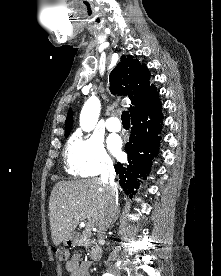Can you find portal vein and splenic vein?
<instances>
[{
  "label": "portal vein and splenic vein",
  "mask_w": 221,
  "mask_h": 276,
  "mask_svg": "<svg viewBox=\"0 0 221 276\" xmlns=\"http://www.w3.org/2000/svg\"><path fill=\"white\" fill-rule=\"evenodd\" d=\"M87 227H91V223H88Z\"/></svg>",
  "instance_id": "1"
}]
</instances>
